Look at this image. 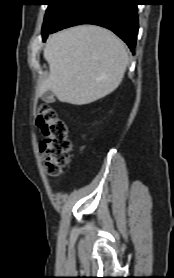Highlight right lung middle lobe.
Instances as JSON below:
<instances>
[{
	"label": "right lung middle lobe",
	"instance_id": "1",
	"mask_svg": "<svg viewBox=\"0 0 174 278\" xmlns=\"http://www.w3.org/2000/svg\"><path fill=\"white\" fill-rule=\"evenodd\" d=\"M77 0H46L48 5L44 24L42 28V33L54 27L68 8Z\"/></svg>",
	"mask_w": 174,
	"mask_h": 278
}]
</instances>
